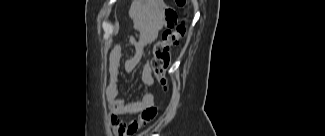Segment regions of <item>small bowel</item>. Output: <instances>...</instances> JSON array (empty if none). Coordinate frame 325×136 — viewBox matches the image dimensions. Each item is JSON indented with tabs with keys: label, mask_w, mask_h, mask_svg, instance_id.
<instances>
[{
	"label": "small bowel",
	"mask_w": 325,
	"mask_h": 136,
	"mask_svg": "<svg viewBox=\"0 0 325 136\" xmlns=\"http://www.w3.org/2000/svg\"><path fill=\"white\" fill-rule=\"evenodd\" d=\"M162 25L161 18L152 20L149 26L138 36L133 43L134 56L125 64L127 71L132 70L140 61L144 47L156 40ZM121 58L122 48L120 46L114 47L109 54L108 82L105 96L110 109V123L113 132L117 136H131L148 125L155 117L157 110L151 93H147L134 101L119 98ZM141 78L145 85L151 86L153 84V75L148 63L145 64L142 70ZM126 114H136L137 117L129 121L121 120L120 116Z\"/></svg>",
	"instance_id": "small-bowel-1"
}]
</instances>
